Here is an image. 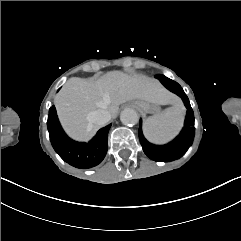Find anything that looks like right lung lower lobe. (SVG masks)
<instances>
[{
    "instance_id": "obj_1",
    "label": "right lung lower lobe",
    "mask_w": 241,
    "mask_h": 241,
    "mask_svg": "<svg viewBox=\"0 0 241 241\" xmlns=\"http://www.w3.org/2000/svg\"><path fill=\"white\" fill-rule=\"evenodd\" d=\"M47 127L55 151L65 162L76 168L94 167L102 162L107 153L108 131L111 124L101 128L88 143L76 142L65 134L59 123L56 109L52 106L49 109Z\"/></svg>"
}]
</instances>
